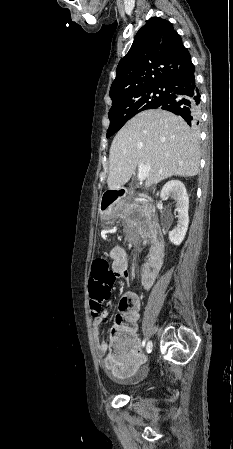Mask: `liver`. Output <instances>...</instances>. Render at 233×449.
I'll return each instance as SVG.
<instances>
[{"mask_svg":"<svg viewBox=\"0 0 233 449\" xmlns=\"http://www.w3.org/2000/svg\"><path fill=\"white\" fill-rule=\"evenodd\" d=\"M109 162L110 190L126 184L140 162L151 166L146 187L172 176H195L200 162L198 137L182 117L161 109L146 110L116 134Z\"/></svg>","mask_w":233,"mask_h":449,"instance_id":"6515ba94","label":"liver"}]
</instances>
